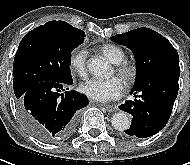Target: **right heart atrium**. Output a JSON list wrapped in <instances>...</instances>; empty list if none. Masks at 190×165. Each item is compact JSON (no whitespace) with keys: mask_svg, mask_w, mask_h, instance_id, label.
<instances>
[{"mask_svg":"<svg viewBox=\"0 0 190 165\" xmlns=\"http://www.w3.org/2000/svg\"><path fill=\"white\" fill-rule=\"evenodd\" d=\"M87 56L88 52L85 49H76L69 57V67L71 71L81 78L87 76Z\"/></svg>","mask_w":190,"mask_h":165,"instance_id":"d8ad5b80","label":"right heart atrium"}]
</instances>
